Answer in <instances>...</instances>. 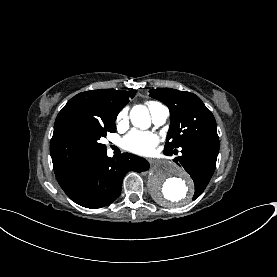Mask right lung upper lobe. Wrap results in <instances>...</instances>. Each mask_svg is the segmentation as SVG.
I'll list each match as a JSON object with an SVG mask.
<instances>
[{
    "label": "right lung upper lobe",
    "mask_w": 277,
    "mask_h": 277,
    "mask_svg": "<svg viewBox=\"0 0 277 277\" xmlns=\"http://www.w3.org/2000/svg\"><path fill=\"white\" fill-rule=\"evenodd\" d=\"M136 90L100 89L77 94L59 112L52 142H64L73 136L74 125L88 124L95 128H115L116 116L133 98Z\"/></svg>",
    "instance_id": "obj_1"
}]
</instances>
